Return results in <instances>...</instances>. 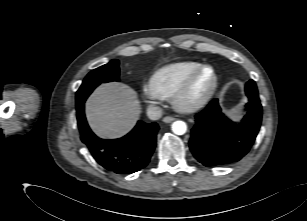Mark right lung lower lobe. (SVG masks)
I'll return each instance as SVG.
<instances>
[{"label":"right lung lower lobe","mask_w":307,"mask_h":221,"mask_svg":"<svg viewBox=\"0 0 307 221\" xmlns=\"http://www.w3.org/2000/svg\"><path fill=\"white\" fill-rule=\"evenodd\" d=\"M81 140L103 168L117 174H131L147 166L156 146L158 124L138 121L126 136L115 140L98 138L89 128L84 104L77 107Z\"/></svg>","instance_id":"obj_1"}]
</instances>
